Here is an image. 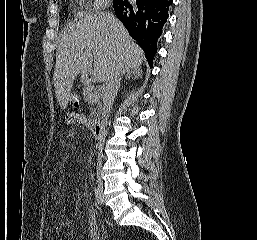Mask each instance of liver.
<instances>
[{
  "mask_svg": "<svg viewBox=\"0 0 257 240\" xmlns=\"http://www.w3.org/2000/svg\"><path fill=\"white\" fill-rule=\"evenodd\" d=\"M117 51L123 71L139 68L145 59L143 51L114 15L80 12L79 20L65 28L56 49L53 82L60 107H67L78 74L84 82L88 81V74L92 80L106 81Z\"/></svg>",
  "mask_w": 257,
  "mask_h": 240,
  "instance_id": "1",
  "label": "liver"
}]
</instances>
